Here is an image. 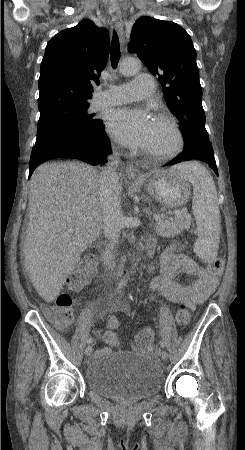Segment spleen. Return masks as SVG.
I'll return each instance as SVG.
<instances>
[{
	"label": "spleen",
	"instance_id": "spleen-1",
	"mask_svg": "<svg viewBox=\"0 0 245 450\" xmlns=\"http://www.w3.org/2000/svg\"><path fill=\"white\" fill-rule=\"evenodd\" d=\"M176 167L180 175L193 186L192 210L199 235L194 252L201 260L209 262L217 256L221 230L218 196L213 177L198 162H186Z\"/></svg>",
	"mask_w": 245,
	"mask_h": 450
}]
</instances>
